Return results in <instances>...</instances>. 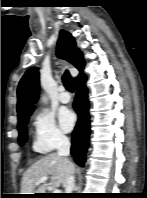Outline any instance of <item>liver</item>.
Wrapping results in <instances>:
<instances>
[{
	"label": "liver",
	"mask_w": 147,
	"mask_h": 198,
	"mask_svg": "<svg viewBox=\"0 0 147 198\" xmlns=\"http://www.w3.org/2000/svg\"><path fill=\"white\" fill-rule=\"evenodd\" d=\"M74 171L75 165L71 161L68 163L57 153H50L25 171L21 181V194L45 193L48 187L64 186L67 177ZM42 177H50V183L36 184Z\"/></svg>",
	"instance_id": "liver-1"
}]
</instances>
